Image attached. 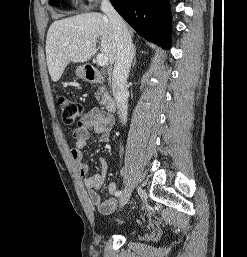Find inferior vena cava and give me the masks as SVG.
<instances>
[{
  "mask_svg": "<svg viewBox=\"0 0 247 257\" xmlns=\"http://www.w3.org/2000/svg\"><path fill=\"white\" fill-rule=\"evenodd\" d=\"M101 10L110 19L115 35L117 55L112 77V91L120 121L126 124L128 115L127 99L129 95L126 82L134 55V47L126 23L109 0H102Z\"/></svg>",
  "mask_w": 247,
  "mask_h": 257,
  "instance_id": "602c4592",
  "label": "inferior vena cava"
}]
</instances>
